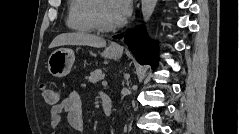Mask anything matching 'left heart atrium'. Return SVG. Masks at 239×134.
Returning a JSON list of instances; mask_svg holds the SVG:
<instances>
[{
	"label": "left heart atrium",
	"mask_w": 239,
	"mask_h": 134,
	"mask_svg": "<svg viewBox=\"0 0 239 134\" xmlns=\"http://www.w3.org/2000/svg\"><path fill=\"white\" fill-rule=\"evenodd\" d=\"M132 10L130 0H112L110 1V11L115 24L123 23Z\"/></svg>",
	"instance_id": "1"
}]
</instances>
